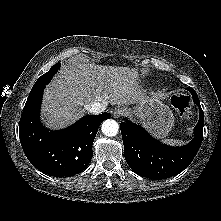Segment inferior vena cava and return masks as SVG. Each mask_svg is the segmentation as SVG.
I'll list each match as a JSON object with an SVG mask.
<instances>
[{
    "mask_svg": "<svg viewBox=\"0 0 221 221\" xmlns=\"http://www.w3.org/2000/svg\"><path fill=\"white\" fill-rule=\"evenodd\" d=\"M106 109V104L100 102H93L86 106V110L92 114H100Z\"/></svg>",
    "mask_w": 221,
    "mask_h": 221,
    "instance_id": "602c4592",
    "label": "inferior vena cava"
}]
</instances>
